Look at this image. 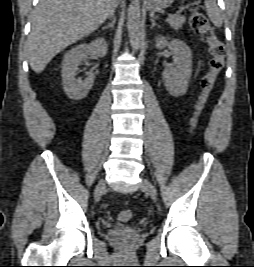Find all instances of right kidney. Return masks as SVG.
<instances>
[{
  "mask_svg": "<svg viewBox=\"0 0 254 267\" xmlns=\"http://www.w3.org/2000/svg\"><path fill=\"white\" fill-rule=\"evenodd\" d=\"M107 53V43L104 38L93 40L89 44H81L68 51L61 65L63 89L66 95L73 100H81L87 96L92 88L95 75L92 72L86 73L84 80L76 79L78 66L86 62L89 55L104 57Z\"/></svg>",
  "mask_w": 254,
  "mask_h": 267,
  "instance_id": "obj_1",
  "label": "right kidney"
}]
</instances>
